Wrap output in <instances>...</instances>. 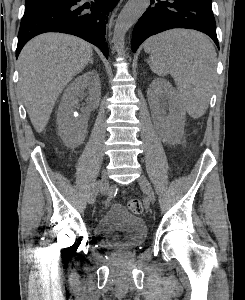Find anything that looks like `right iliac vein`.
Masks as SVG:
<instances>
[{"label":"right iliac vein","mask_w":245,"mask_h":300,"mask_svg":"<svg viewBox=\"0 0 245 300\" xmlns=\"http://www.w3.org/2000/svg\"><path fill=\"white\" fill-rule=\"evenodd\" d=\"M105 184H106V186H109V181H108V176H107L106 170H103L101 180L98 182L97 186L93 187V189L88 197V202L90 204L95 202V199L100 190V187L105 186Z\"/></svg>","instance_id":"obj_1"}]
</instances>
